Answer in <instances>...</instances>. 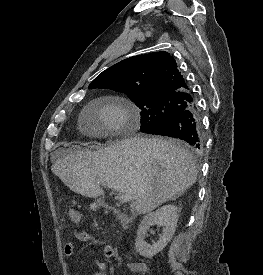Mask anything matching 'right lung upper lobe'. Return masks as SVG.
Wrapping results in <instances>:
<instances>
[{"label": "right lung upper lobe", "mask_w": 263, "mask_h": 275, "mask_svg": "<svg viewBox=\"0 0 263 275\" xmlns=\"http://www.w3.org/2000/svg\"><path fill=\"white\" fill-rule=\"evenodd\" d=\"M89 87L120 89L133 95L189 94L174 58L164 51L122 60L98 75Z\"/></svg>", "instance_id": "cb5924a9"}]
</instances>
